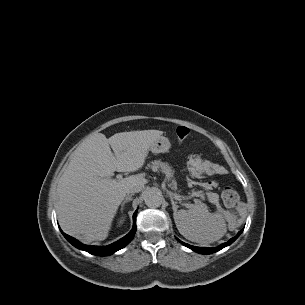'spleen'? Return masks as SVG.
<instances>
[{"instance_id":"3e777b00","label":"spleen","mask_w":305,"mask_h":305,"mask_svg":"<svg viewBox=\"0 0 305 305\" xmlns=\"http://www.w3.org/2000/svg\"><path fill=\"white\" fill-rule=\"evenodd\" d=\"M188 208L174 212V221L181 235L200 244L213 243L223 237L227 227L221 208L214 213H209L201 204H189Z\"/></svg>"}]
</instances>
